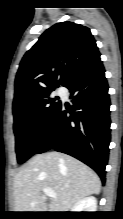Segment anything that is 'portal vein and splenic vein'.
Listing matches in <instances>:
<instances>
[{
    "label": "portal vein and splenic vein",
    "instance_id": "obj_1",
    "mask_svg": "<svg viewBox=\"0 0 123 219\" xmlns=\"http://www.w3.org/2000/svg\"><path fill=\"white\" fill-rule=\"evenodd\" d=\"M43 192H44V194H45L46 196H48V197H50V198H56V197H57V195L55 194V192H54L52 189H50V188H45V189L43 190Z\"/></svg>",
    "mask_w": 123,
    "mask_h": 219
}]
</instances>
